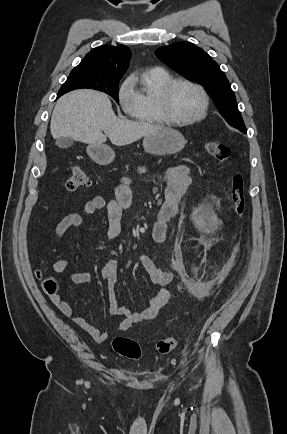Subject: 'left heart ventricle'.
Listing matches in <instances>:
<instances>
[{"mask_svg": "<svg viewBox=\"0 0 287 434\" xmlns=\"http://www.w3.org/2000/svg\"><path fill=\"white\" fill-rule=\"evenodd\" d=\"M202 105L199 93L184 84L177 85L169 97V110L177 119H189L200 111Z\"/></svg>", "mask_w": 287, "mask_h": 434, "instance_id": "b2bd125f", "label": "left heart ventricle"}]
</instances>
